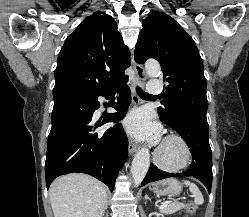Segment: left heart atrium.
<instances>
[{
  "instance_id": "1",
  "label": "left heart atrium",
  "mask_w": 249,
  "mask_h": 217,
  "mask_svg": "<svg viewBox=\"0 0 249 217\" xmlns=\"http://www.w3.org/2000/svg\"><path fill=\"white\" fill-rule=\"evenodd\" d=\"M125 126L136 138L158 140L159 126L153 124L145 112L136 111L131 113L125 120Z\"/></svg>"
}]
</instances>
